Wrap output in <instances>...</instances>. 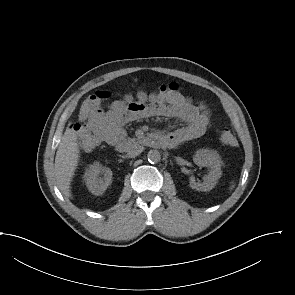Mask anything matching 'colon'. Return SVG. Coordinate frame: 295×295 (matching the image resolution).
Wrapping results in <instances>:
<instances>
[{
    "instance_id": "obj_1",
    "label": "colon",
    "mask_w": 295,
    "mask_h": 295,
    "mask_svg": "<svg viewBox=\"0 0 295 295\" xmlns=\"http://www.w3.org/2000/svg\"><path fill=\"white\" fill-rule=\"evenodd\" d=\"M159 92L169 93L171 95H178L185 98L180 92L179 85L176 83L162 84L157 87ZM110 96L107 91H97L89 95L81 104L79 111V123L76 124L75 130L87 140L88 146L92 147L96 145L101 139V132L99 130H88L86 128L87 121L90 116L100 109L101 103ZM220 142L223 145L234 147L237 145V139L234 133L225 128L220 132Z\"/></svg>"
}]
</instances>
